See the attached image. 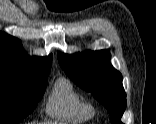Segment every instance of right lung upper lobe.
<instances>
[{
  "mask_svg": "<svg viewBox=\"0 0 156 124\" xmlns=\"http://www.w3.org/2000/svg\"><path fill=\"white\" fill-rule=\"evenodd\" d=\"M52 55L30 57L25 54L21 41L4 32H0V72L29 77L48 75L51 69Z\"/></svg>",
  "mask_w": 156,
  "mask_h": 124,
  "instance_id": "cb5924a9",
  "label": "right lung upper lobe"
}]
</instances>
